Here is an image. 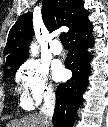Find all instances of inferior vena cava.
Returning a JSON list of instances; mask_svg holds the SVG:
<instances>
[{"mask_svg": "<svg viewBox=\"0 0 108 127\" xmlns=\"http://www.w3.org/2000/svg\"><path fill=\"white\" fill-rule=\"evenodd\" d=\"M55 93L49 90L44 96V105L40 110V113L44 116L45 127H52V117L55 108Z\"/></svg>", "mask_w": 108, "mask_h": 127, "instance_id": "602c4592", "label": "inferior vena cava"}]
</instances>
